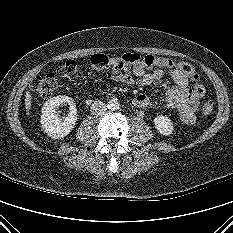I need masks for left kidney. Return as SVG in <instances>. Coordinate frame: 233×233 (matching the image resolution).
Here are the masks:
<instances>
[{
  "instance_id": "obj_1",
  "label": "left kidney",
  "mask_w": 233,
  "mask_h": 233,
  "mask_svg": "<svg viewBox=\"0 0 233 233\" xmlns=\"http://www.w3.org/2000/svg\"><path fill=\"white\" fill-rule=\"evenodd\" d=\"M154 125L155 128L165 136L171 135L174 130L173 122L167 116H156L154 119Z\"/></svg>"
}]
</instances>
